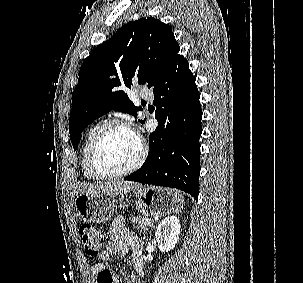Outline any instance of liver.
<instances>
[{
	"label": "liver",
	"instance_id": "obj_1",
	"mask_svg": "<svg viewBox=\"0 0 303 283\" xmlns=\"http://www.w3.org/2000/svg\"><path fill=\"white\" fill-rule=\"evenodd\" d=\"M139 187V184L128 181H112L97 184L81 183L76 194H86L94 197L102 195L117 196Z\"/></svg>",
	"mask_w": 303,
	"mask_h": 283
}]
</instances>
